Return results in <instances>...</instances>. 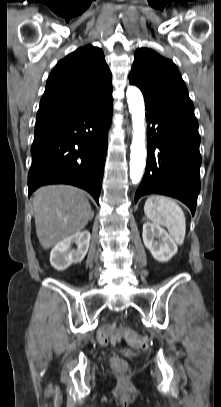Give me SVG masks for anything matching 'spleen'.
Wrapping results in <instances>:
<instances>
[{"instance_id":"spleen-1","label":"spleen","mask_w":221,"mask_h":407,"mask_svg":"<svg viewBox=\"0 0 221 407\" xmlns=\"http://www.w3.org/2000/svg\"><path fill=\"white\" fill-rule=\"evenodd\" d=\"M144 212L153 223L166 226L175 242L183 244L186 234L185 216L174 200L166 196L152 195L145 202Z\"/></svg>"}]
</instances>
